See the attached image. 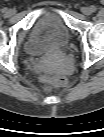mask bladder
Returning <instances> with one entry per match:
<instances>
[{
	"mask_svg": "<svg viewBox=\"0 0 104 137\" xmlns=\"http://www.w3.org/2000/svg\"><path fill=\"white\" fill-rule=\"evenodd\" d=\"M70 29L56 12H47L35 24L32 38L25 52L29 56H40L67 46Z\"/></svg>",
	"mask_w": 104,
	"mask_h": 137,
	"instance_id": "1",
	"label": "bladder"
}]
</instances>
